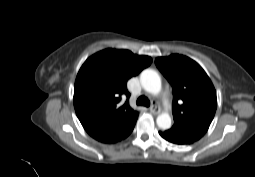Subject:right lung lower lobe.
<instances>
[{"label":"right lung lower lobe","mask_w":255,"mask_h":177,"mask_svg":"<svg viewBox=\"0 0 255 177\" xmlns=\"http://www.w3.org/2000/svg\"><path fill=\"white\" fill-rule=\"evenodd\" d=\"M137 118H138V114L133 117H130L129 119L125 120L124 122L119 124L117 127L112 129L105 135L97 138L96 140L102 143L111 144V143H116L118 141H121L122 139H125L132 132L136 124Z\"/></svg>","instance_id":"right-lung-lower-lobe-1"}]
</instances>
